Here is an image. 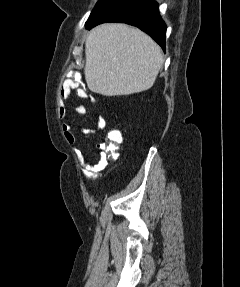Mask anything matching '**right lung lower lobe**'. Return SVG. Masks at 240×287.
<instances>
[{"label":"right lung lower lobe","mask_w":240,"mask_h":287,"mask_svg":"<svg viewBox=\"0 0 240 287\" xmlns=\"http://www.w3.org/2000/svg\"><path fill=\"white\" fill-rule=\"evenodd\" d=\"M119 22L136 26L150 35L165 50L166 25L154 0H111L86 28Z\"/></svg>","instance_id":"obj_1"}]
</instances>
